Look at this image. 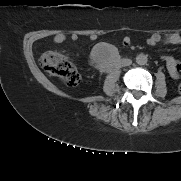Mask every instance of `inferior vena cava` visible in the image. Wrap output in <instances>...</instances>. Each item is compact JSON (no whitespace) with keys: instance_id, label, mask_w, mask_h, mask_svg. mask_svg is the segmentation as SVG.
I'll list each match as a JSON object with an SVG mask.
<instances>
[{"instance_id":"obj_1","label":"inferior vena cava","mask_w":181,"mask_h":181,"mask_svg":"<svg viewBox=\"0 0 181 181\" xmlns=\"http://www.w3.org/2000/svg\"><path fill=\"white\" fill-rule=\"evenodd\" d=\"M131 64H132V60L128 58L122 59L121 61V66H129Z\"/></svg>"}]
</instances>
